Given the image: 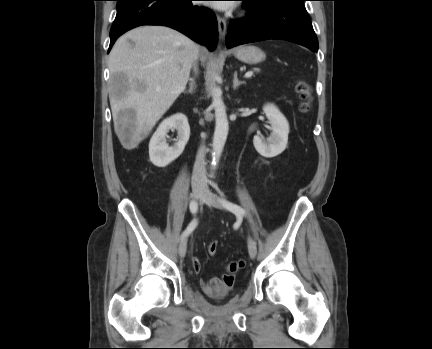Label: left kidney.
<instances>
[{
  "instance_id": "1",
  "label": "left kidney",
  "mask_w": 432,
  "mask_h": 349,
  "mask_svg": "<svg viewBox=\"0 0 432 349\" xmlns=\"http://www.w3.org/2000/svg\"><path fill=\"white\" fill-rule=\"evenodd\" d=\"M263 112L271 125L272 133L266 140L258 135L254 136L253 144L261 156L273 158L281 154L287 146L289 123L274 104L264 105Z\"/></svg>"
}]
</instances>
